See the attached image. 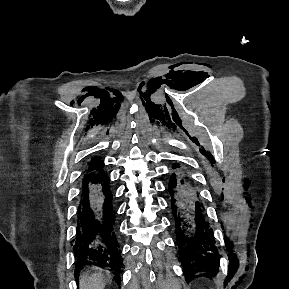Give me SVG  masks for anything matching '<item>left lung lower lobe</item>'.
<instances>
[{"label": "left lung lower lobe", "mask_w": 289, "mask_h": 289, "mask_svg": "<svg viewBox=\"0 0 289 289\" xmlns=\"http://www.w3.org/2000/svg\"><path fill=\"white\" fill-rule=\"evenodd\" d=\"M169 180L171 208L175 219L179 257L186 278L197 270L217 272L218 255L214 245L213 231L204 218V206L191 178L178 164Z\"/></svg>", "instance_id": "0a47b994"}]
</instances>
